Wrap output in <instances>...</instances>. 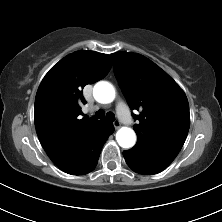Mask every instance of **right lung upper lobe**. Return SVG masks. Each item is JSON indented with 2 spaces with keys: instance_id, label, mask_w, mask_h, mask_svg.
Segmentation results:
<instances>
[{
  "instance_id": "obj_1",
  "label": "right lung upper lobe",
  "mask_w": 222,
  "mask_h": 222,
  "mask_svg": "<svg viewBox=\"0 0 222 222\" xmlns=\"http://www.w3.org/2000/svg\"><path fill=\"white\" fill-rule=\"evenodd\" d=\"M110 69L107 54L80 50L60 60L43 78L35 98V126L44 150L60 169L79 165L89 151L90 135L109 123L80 115L86 103L82 89Z\"/></svg>"
}]
</instances>
